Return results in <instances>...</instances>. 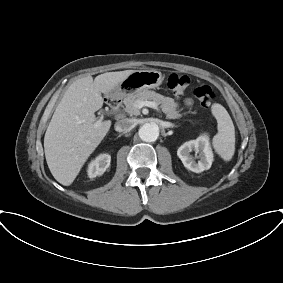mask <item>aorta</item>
Instances as JSON below:
<instances>
[{"label":"aorta","mask_w":283,"mask_h":283,"mask_svg":"<svg viewBox=\"0 0 283 283\" xmlns=\"http://www.w3.org/2000/svg\"><path fill=\"white\" fill-rule=\"evenodd\" d=\"M139 137L145 142H154L159 136V126L155 122L143 124L138 131Z\"/></svg>","instance_id":"obj_1"}]
</instances>
